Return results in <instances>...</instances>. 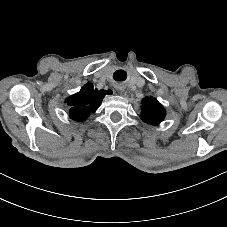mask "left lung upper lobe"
<instances>
[{"label": "left lung upper lobe", "mask_w": 227, "mask_h": 227, "mask_svg": "<svg viewBox=\"0 0 227 227\" xmlns=\"http://www.w3.org/2000/svg\"><path fill=\"white\" fill-rule=\"evenodd\" d=\"M165 109L155 98H144L142 100L141 118L144 122L157 125L165 118Z\"/></svg>", "instance_id": "1"}]
</instances>
